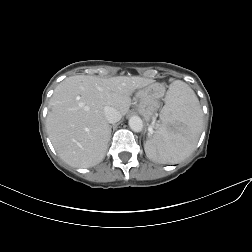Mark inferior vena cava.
<instances>
[{
	"instance_id": "1",
	"label": "inferior vena cava",
	"mask_w": 252,
	"mask_h": 252,
	"mask_svg": "<svg viewBox=\"0 0 252 252\" xmlns=\"http://www.w3.org/2000/svg\"><path fill=\"white\" fill-rule=\"evenodd\" d=\"M104 115L109 123H116L121 119V113L110 106L104 107Z\"/></svg>"
}]
</instances>
